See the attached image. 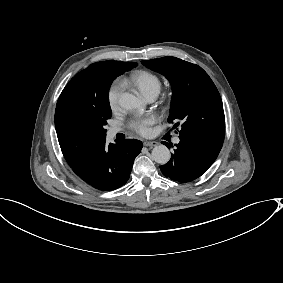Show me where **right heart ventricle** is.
<instances>
[{
    "label": "right heart ventricle",
    "mask_w": 283,
    "mask_h": 283,
    "mask_svg": "<svg viewBox=\"0 0 283 283\" xmlns=\"http://www.w3.org/2000/svg\"><path fill=\"white\" fill-rule=\"evenodd\" d=\"M125 83L136 87L144 96L149 92L158 94L161 88L159 77L144 68H136L131 70L125 77Z\"/></svg>",
    "instance_id": "obj_1"
}]
</instances>
